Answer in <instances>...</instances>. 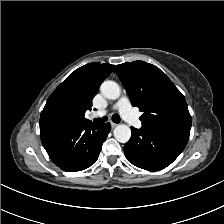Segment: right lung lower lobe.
Masks as SVG:
<instances>
[{
	"mask_svg": "<svg viewBox=\"0 0 224 224\" xmlns=\"http://www.w3.org/2000/svg\"><path fill=\"white\" fill-rule=\"evenodd\" d=\"M42 144L51 160L62 170L75 172L93 165L111 126L94 123H74L40 117Z\"/></svg>",
	"mask_w": 224,
	"mask_h": 224,
	"instance_id": "obj_1",
	"label": "right lung lower lobe"
}]
</instances>
